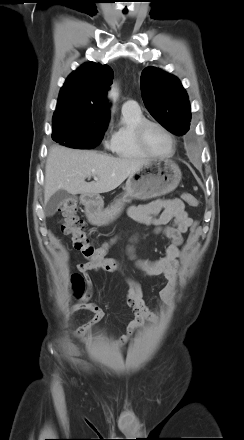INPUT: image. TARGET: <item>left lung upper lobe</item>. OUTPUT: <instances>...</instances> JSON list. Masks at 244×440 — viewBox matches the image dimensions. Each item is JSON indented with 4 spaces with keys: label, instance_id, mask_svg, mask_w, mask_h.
<instances>
[{
    "label": "left lung upper lobe",
    "instance_id": "left-lung-upper-lobe-1",
    "mask_svg": "<svg viewBox=\"0 0 244 440\" xmlns=\"http://www.w3.org/2000/svg\"><path fill=\"white\" fill-rule=\"evenodd\" d=\"M144 104L167 130L184 135L190 127L191 108L180 81L155 67L143 70L140 79Z\"/></svg>",
    "mask_w": 244,
    "mask_h": 440
}]
</instances>
